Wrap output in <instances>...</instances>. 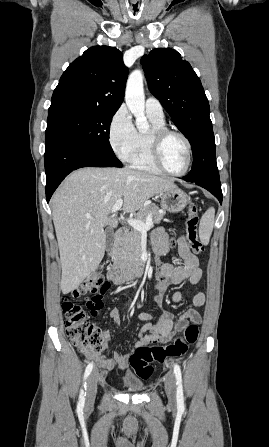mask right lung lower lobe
<instances>
[{"label":"right lung lower lobe","mask_w":269,"mask_h":447,"mask_svg":"<svg viewBox=\"0 0 269 447\" xmlns=\"http://www.w3.org/2000/svg\"><path fill=\"white\" fill-rule=\"evenodd\" d=\"M46 198L73 170L82 167H122L114 153H108L64 134L46 130L45 133Z\"/></svg>","instance_id":"1"}]
</instances>
